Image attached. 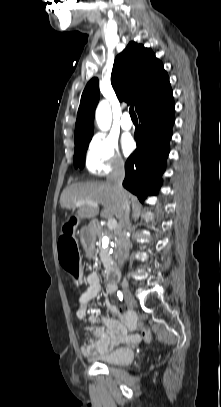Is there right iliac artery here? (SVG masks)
Instances as JSON below:
<instances>
[{"label": "right iliac artery", "mask_w": 221, "mask_h": 407, "mask_svg": "<svg viewBox=\"0 0 221 407\" xmlns=\"http://www.w3.org/2000/svg\"><path fill=\"white\" fill-rule=\"evenodd\" d=\"M117 296L119 297L120 300L123 299V294H122V292L118 291V292H117Z\"/></svg>", "instance_id": "82829eb1"}]
</instances>
